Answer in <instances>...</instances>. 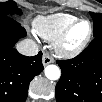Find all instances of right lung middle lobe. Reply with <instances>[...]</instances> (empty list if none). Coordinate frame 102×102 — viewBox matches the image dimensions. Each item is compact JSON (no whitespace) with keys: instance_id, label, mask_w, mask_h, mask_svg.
<instances>
[{"instance_id":"right-lung-middle-lobe-1","label":"right lung middle lobe","mask_w":102,"mask_h":102,"mask_svg":"<svg viewBox=\"0 0 102 102\" xmlns=\"http://www.w3.org/2000/svg\"><path fill=\"white\" fill-rule=\"evenodd\" d=\"M9 14L21 15L22 12L20 9H18L14 1L0 3V19L5 16L9 17Z\"/></svg>"}]
</instances>
